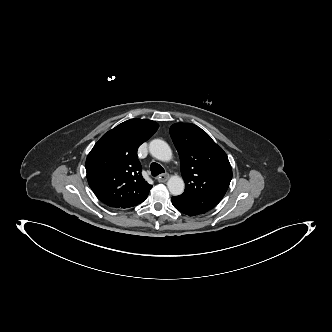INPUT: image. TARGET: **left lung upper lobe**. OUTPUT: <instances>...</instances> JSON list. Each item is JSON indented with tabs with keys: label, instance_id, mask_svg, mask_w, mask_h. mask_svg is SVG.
Listing matches in <instances>:
<instances>
[{
	"label": "left lung upper lobe",
	"instance_id": "left-lung-upper-lobe-1",
	"mask_svg": "<svg viewBox=\"0 0 332 332\" xmlns=\"http://www.w3.org/2000/svg\"><path fill=\"white\" fill-rule=\"evenodd\" d=\"M170 136L179 153L185 191L177 196L205 211L224 197L232 179L226 153L201 128L190 123H176Z\"/></svg>",
	"mask_w": 332,
	"mask_h": 332
}]
</instances>
